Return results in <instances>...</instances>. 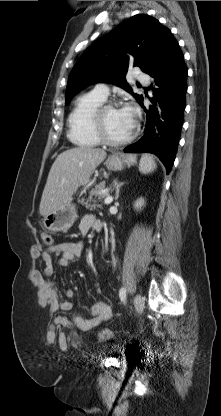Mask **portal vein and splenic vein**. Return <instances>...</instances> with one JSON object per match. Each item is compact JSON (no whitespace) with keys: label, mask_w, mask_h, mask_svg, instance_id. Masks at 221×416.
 <instances>
[{"label":"portal vein and splenic vein","mask_w":221,"mask_h":416,"mask_svg":"<svg viewBox=\"0 0 221 416\" xmlns=\"http://www.w3.org/2000/svg\"><path fill=\"white\" fill-rule=\"evenodd\" d=\"M112 201H113V197L109 195L105 198L104 203L105 204H110Z\"/></svg>","instance_id":"obj_1"}]
</instances>
